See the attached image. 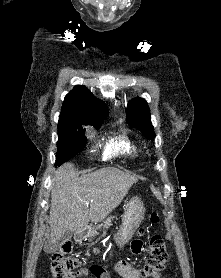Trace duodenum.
Masks as SVG:
<instances>
[{
    "label": "duodenum",
    "instance_id": "obj_1",
    "mask_svg": "<svg viewBox=\"0 0 221 278\" xmlns=\"http://www.w3.org/2000/svg\"><path fill=\"white\" fill-rule=\"evenodd\" d=\"M86 235H87V231L86 230L79 231V232L76 233L75 239L77 241H83L84 238L86 237Z\"/></svg>",
    "mask_w": 221,
    "mask_h": 278
}]
</instances>
